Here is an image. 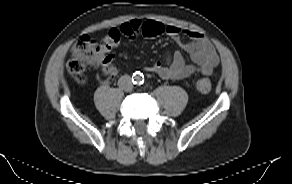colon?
I'll return each mask as SVG.
<instances>
[{
    "mask_svg": "<svg viewBox=\"0 0 292 184\" xmlns=\"http://www.w3.org/2000/svg\"><path fill=\"white\" fill-rule=\"evenodd\" d=\"M163 34V26L160 22L147 20L143 24L142 35L146 38H155ZM121 32L117 28L109 30L98 42L88 35L81 36L72 47V57L67 63V68L72 77L80 84L86 82L85 70L94 63L97 52L110 51L118 46ZM194 87L201 93H207L211 89L209 79L201 78L194 82Z\"/></svg>",
    "mask_w": 292,
    "mask_h": 184,
    "instance_id": "5ec220e1",
    "label": "colon"
}]
</instances>
